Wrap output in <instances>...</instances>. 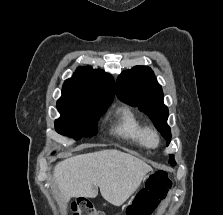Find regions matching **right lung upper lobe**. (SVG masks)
I'll use <instances>...</instances> for the list:
<instances>
[{"label": "right lung upper lobe", "instance_id": "1", "mask_svg": "<svg viewBox=\"0 0 223 215\" xmlns=\"http://www.w3.org/2000/svg\"><path fill=\"white\" fill-rule=\"evenodd\" d=\"M115 95L111 75L91 67H79L72 78L65 80L57 107L107 108Z\"/></svg>", "mask_w": 223, "mask_h": 215}]
</instances>
